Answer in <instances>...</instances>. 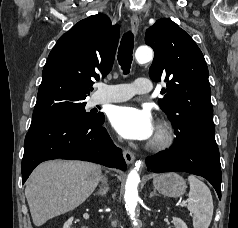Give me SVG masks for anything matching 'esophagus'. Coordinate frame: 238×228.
I'll use <instances>...</instances> for the list:
<instances>
[{
  "label": "esophagus",
  "mask_w": 238,
  "mask_h": 228,
  "mask_svg": "<svg viewBox=\"0 0 238 228\" xmlns=\"http://www.w3.org/2000/svg\"><path fill=\"white\" fill-rule=\"evenodd\" d=\"M139 26L140 21L138 15L136 13H133L131 16V28L134 34H137ZM123 156L127 164H131L135 160V155L130 150H124Z\"/></svg>",
  "instance_id": "esophagus-1"
}]
</instances>
